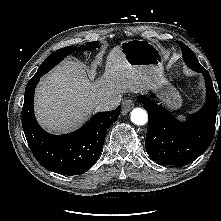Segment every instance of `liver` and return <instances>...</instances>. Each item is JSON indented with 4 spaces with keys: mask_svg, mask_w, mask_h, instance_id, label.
<instances>
[{
    "mask_svg": "<svg viewBox=\"0 0 221 221\" xmlns=\"http://www.w3.org/2000/svg\"><path fill=\"white\" fill-rule=\"evenodd\" d=\"M145 86L141 73L127 63L119 46L108 54L105 72L96 82L88 79L79 62L65 61L37 86L36 117L47 131L67 133L100 110L99 100L127 91L138 92Z\"/></svg>",
    "mask_w": 221,
    "mask_h": 221,
    "instance_id": "1",
    "label": "liver"
}]
</instances>
